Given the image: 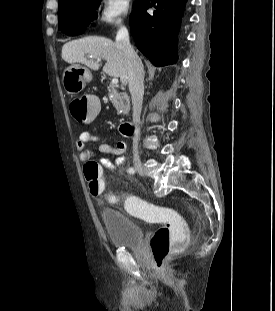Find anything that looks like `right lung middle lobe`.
Here are the masks:
<instances>
[{"label":"right lung middle lobe","mask_w":275,"mask_h":311,"mask_svg":"<svg viewBox=\"0 0 275 311\" xmlns=\"http://www.w3.org/2000/svg\"><path fill=\"white\" fill-rule=\"evenodd\" d=\"M100 3L101 0H68L59 4L58 29L67 35H77L79 28L94 20ZM139 4L140 1L134 2V9Z\"/></svg>","instance_id":"right-lung-middle-lobe-1"}]
</instances>
